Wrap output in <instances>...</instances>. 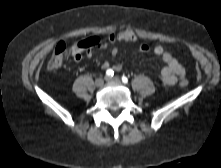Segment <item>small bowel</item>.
<instances>
[{
    "label": "small bowel",
    "mask_w": 221,
    "mask_h": 168,
    "mask_svg": "<svg viewBox=\"0 0 221 168\" xmlns=\"http://www.w3.org/2000/svg\"><path fill=\"white\" fill-rule=\"evenodd\" d=\"M127 30V29H125ZM109 43H111L108 40ZM128 42V41H127ZM113 44V43H111ZM138 51L142 53L148 52L151 48L146 43H141L138 45ZM153 53L156 56H159L165 63L160 72V78L162 82L166 85H174L177 83L179 79H182L185 76V69L179 63V61L166 49H164L161 45H156L152 48ZM118 48L114 47L111 50L112 56H116L118 54ZM89 57L93 55V52L89 51L87 54ZM102 67L104 69H113L115 71H120L122 69L121 63H112L110 61H105L102 63Z\"/></svg>",
    "instance_id": "small-bowel-1"
}]
</instances>
